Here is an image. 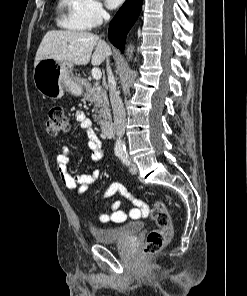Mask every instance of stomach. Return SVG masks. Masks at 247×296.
<instances>
[{"label":"stomach","mask_w":247,"mask_h":296,"mask_svg":"<svg viewBox=\"0 0 247 296\" xmlns=\"http://www.w3.org/2000/svg\"><path fill=\"white\" fill-rule=\"evenodd\" d=\"M72 70L73 63L42 59L34 66V85L42 95L51 99L61 98L65 90L80 95L82 88L72 76Z\"/></svg>","instance_id":"0dacf381"}]
</instances>
